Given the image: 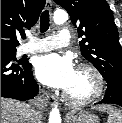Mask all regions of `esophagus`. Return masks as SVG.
<instances>
[{
	"instance_id": "obj_1",
	"label": "esophagus",
	"mask_w": 122,
	"mask_h": 123,
	"mask_svg": "<svg viewBox=\"0 0 122 123\" xmlns=\"http://www.w3.org/2000/svg\"><path fill=\"white\" fill-rule=\"evenodd\" d=\"M51 8H52V1L51 0H47L46 1V9L51 10ZM46 100L51 106L56 105L58 103L57 99L54 96H52V95L51 96H47Z\"/></svg>"
}]
</instances>
